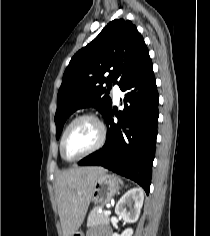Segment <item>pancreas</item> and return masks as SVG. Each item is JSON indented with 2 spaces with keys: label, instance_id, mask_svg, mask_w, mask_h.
<instances>
[{
  "label": "pancreas",
  "instance_id": "obj_1",
  "mask_svg": "<svg viewBox=\"0 0 210 236\" xmlns=\"http://www.w3.org/2000/svg\"><path fill=\"white\" fill-rule=\"evenodd\" d=\"M102 206H96L94 207L87 219V226L93 227L95 225L99 224H109V216L104 214V211L102 213H99V209H101Z\"/></svg>",
  "mask_w": 210,
  "mask_h": 236
}]
</instances>
